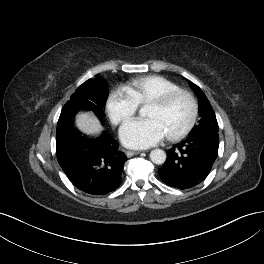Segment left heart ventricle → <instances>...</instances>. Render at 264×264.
<instances>
[{
    "mask_svg": "<svg viewBox=\"0 0 264 264\" xmlns=\"http://www.w3.org/2000/svg\"><path fill=\"white\" fill-rule=\"evenodd\" d=\"M190 106L186 98L179 97L165 108L148 105L145 116L156 119L169 134L179 130L188 120Z\"/></svg>",
    "mask_w": 264,
    "mask_h": 264,
    "instance_id": "1",
    "label": "left heart ventricle"
}]
</instances>
